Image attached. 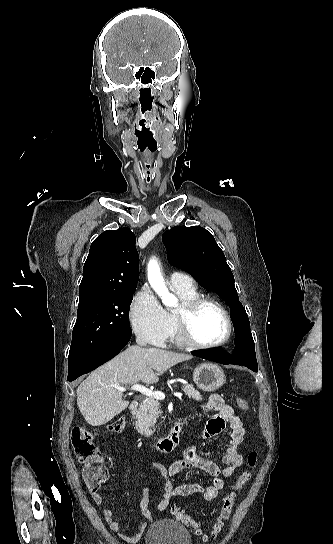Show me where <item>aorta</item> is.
<instances>
[{
  "label": "aorta",
  "mask_w": 333,
  "mask_h": 544,
  "mask_svg": "<svg viewBox=\"0 0 333 544\" xmlns=\"http://www.w3.org/2000/svg\"><path fill=\"white\" fill-rule=\"evenodd\" d=\"M147 277L150 286L161 298L165 306L173 307L177 304V298L167 289L164 278L155 259H152L148 264Z\"/></svg>",
  "instance_id": "aorta-1"
}]
</instances>
